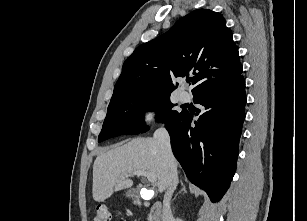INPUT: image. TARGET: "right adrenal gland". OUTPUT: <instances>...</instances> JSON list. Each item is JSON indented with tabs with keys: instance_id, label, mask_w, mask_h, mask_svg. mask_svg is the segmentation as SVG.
<instances>
[{
	"instance_id": "1",
	"label": "right adrenal gland",
	"mask_w": 307,
	"mask_h": 221,
	"mask_svg": "<svg viewBox=\"0 0 307 221\" xmlns=\"http://www.w3.org/2000/svg\"><path fill=\"white\" fill-rule=\"evenodd\" d=\"M180 184H181V189L179 190V192H178V193H180V192H182V191H183L184 193H186V192H187V190H186V187H185L184 183L181 181V182H180ZM178 193L175 195V197H174V199H173V200H175V199H176V197H177Z\"/></svg>"
}]
</instances>
